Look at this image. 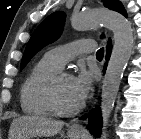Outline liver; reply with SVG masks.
Masks as SVG:
<instances>
[{"label":"liver","mask_w":141,"mask_h":139,"mask_svg":"<svg viewBox=\"0 0 141 139\" xmlns=\"http://www.w3.org/2000/svg\"><path fill=\"white\" fill-rule=\"evenodd\" d=\"M63 125V121L53 120L45 116H21L11 123L10 139L54 136L61 131Z\"/></svg>","instance_id":"obj_1"}]
</instances>
